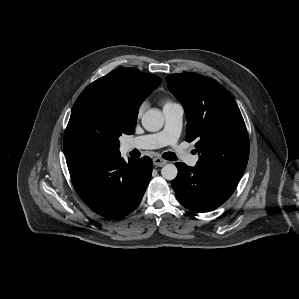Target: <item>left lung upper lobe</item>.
<instances>
[{"label":"left lung upper lobe","instance_id":"5c2ea615","mask_svg":"<svg viewBox=\"0 0 299 299\" xmlns=\"http://www.w3.org/2000/svg\"><path fill=\"white\" fill-rule=\"evenodd\" d=\"M187 118L186 141H196L199 166L239 181L249 157V138L231 94L217 81L195 73L166 77Z\"/></svg>","mask_w":299,"mask_h":299}]
</instances>
